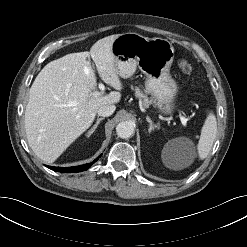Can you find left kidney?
Here are the masks:
<instances>
[{
    "label": "left kidney",
    "instance_id": "1",
    "mask_svg": "<svg viewBox=\"0 0 247 247\" xmlns=\"http://www.w3.org/2000/svg\"><path fill=\"white\" fill-rule=\"evenodd\" d=\"M186 139L178 138L169 141L163 151L166 165L170 168H177L182 159L183 143Z\"/></svg>",
    "mask_w": 247,
    "mask_h": 247
}]
</instances>
